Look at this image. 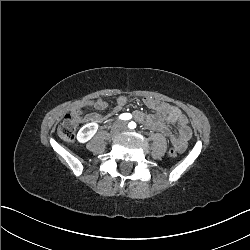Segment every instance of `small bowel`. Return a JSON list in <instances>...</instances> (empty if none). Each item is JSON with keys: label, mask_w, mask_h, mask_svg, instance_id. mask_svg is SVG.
Instances as JSON below:
<instances>
[{"label": "small bowel", "mask_w": 250, "mask_h": 250, "mask_svg": "<svg viewBox=\"0 0 250 250\" xmlns=\"http://www.w3.org/2000/svg\"><path fill=\"white\" fill-rule=\"evenodd\" d=\"M144 102L153 113L144 114L137 111L134 114L135 119L143 123L149 129L162 133L170 139L172 145L178 151H183L191 138V129L188 125L186 116L178 107L152 97L144 98ZM126 104L127 97L120 96L117 100L115 110H119ZM89 105L97 110H104L107 107V103L100 101V99L90 101ZM73 115L81 122L103 123L106 120L104 116L98 113H83L81 110H75ZM171 125L177 127V133H173Z\"/></svg>", "instance_id": "c3829d8e"}]
</instances>
